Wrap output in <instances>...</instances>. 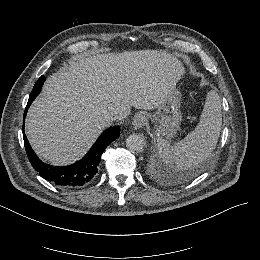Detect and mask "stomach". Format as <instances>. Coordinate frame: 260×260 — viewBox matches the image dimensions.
Segmentation results:
<instances>
[{"label":"stomach","mask_w":260,"mask_h":260,"mask_svg":"<svg viewBox=\"0 0 260 260\" xmlns=\"http://www.w3.org/2000/svg\"><path fill=\"white\" fill-rule=\"evenodd\" d=\"M181 122L180 93L175 88L163 104L157 107L153 119L154 132L160 138L171 139L176 135Z\"/></svg>","instance_id":"1"}]
</instances>
